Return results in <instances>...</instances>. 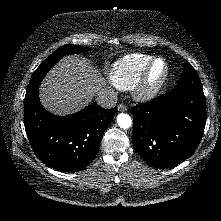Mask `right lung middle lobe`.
<instances>
[{
    "label": "right lung middle lobe",
    "mask_w": 221,
    "mask_h": 221,
    "mask_svg": "<svg viewBox=\"0 0 221 221\" xmlns=\"http://www.w3.org/2000/svg\"><path fill=\"white\" fill-rule=\"evenodd\" d=\"M88 49L77 45H64L55 50L46 58L33 73L27 90H30L40 84L46 73L65 55L87 52Z\"/></svg>",
    "instance_id": "1"
}]
</instances>
